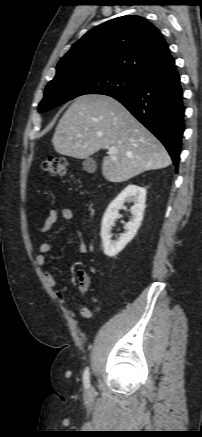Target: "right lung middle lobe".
Instances as JSON below:
<instances>
[{
	"label": "right lung middle lobe",
	"instance_id": "1",
	"mask_svg": "<svg viewBox=\"0 0 202 437\" xmlns=\"http://www.w3.org/2000/svg\"><path fill=\"white\" fill-rule=\"evenodd\" d=\"M142 80L115 72H67L50 81L44 98L39 105V112L52 109L64 102L85 94H103L111 96L135 90Z\"/></svg>",
	"mask_w": 202,
	"mask_h": 437
}]
</instances>
